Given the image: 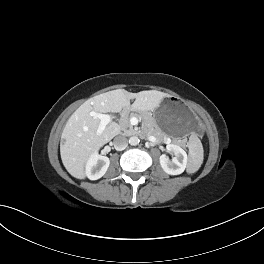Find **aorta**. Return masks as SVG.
I'll use <instances>...</instances> for the list:
<instances>
[{
  "mask_svg": "<svg viewBox=\"0 0 264 264\" xmlns=\"http://www.w3.org/2000/svg\"><path fill=\"white\" fill-rule=\"evenodd\" d=\"M139 138L137 136H131L129 138V144L132 145V146H136L139 144Z\"/></svg>",
  "mask_w": 264,
  "mask_h": 264,
  "instance_id": "aorta-1",
  "label": "aorta"
}]
</instances>
